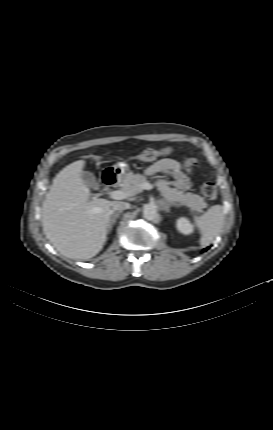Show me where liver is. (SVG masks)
<instances>
[{
    "instance_id": "liver-1",
    "label": "liver",
    "mask_w": 273,
    "mask_h": 430,
    "mask_svg": "<svg viewBox=\"0 0 273 430\" xmlns=\"http://www.w3.org/2000/svg\"><path fill=\"white\" fill-rule=\"evenodd\" d=\"M84 165V160L75 161L56 175L42 208L46 238L62 255L74 259H89L102 249L114 204L91 198L82 179Z\"/></svg>"
}]
</instances>
